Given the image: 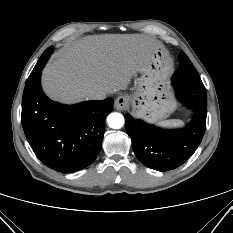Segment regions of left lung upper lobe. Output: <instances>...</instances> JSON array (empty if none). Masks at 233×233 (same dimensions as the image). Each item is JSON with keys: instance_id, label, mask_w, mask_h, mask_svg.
Segmentation results:
<instances>
[{"instance_id": "5c2ea615", "label": "left lung upper lobe", "mask_w": 233, "mask_h": 233, "mask_svg": "<svg viewBox=\"0 0 233 233\" xmlns=\"http://www.w3.org/2000/svg\"><path fill=\"white\" fill-rule=\"evenodd\" d=\"M172 79L190 87L205 89L189 58L187 59L186 66L184 68L180 66L173 74Z\"/></svg>"}]
</instances>
